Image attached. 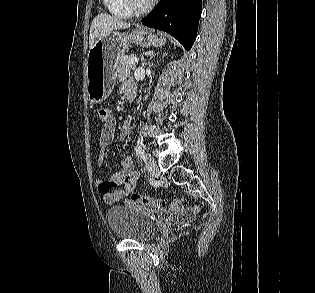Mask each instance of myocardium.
<instances>
[{"instance_id":"myocardium-1","label":"myocardium","mask_w":315,"mask_h":293,"mask_svg":"<svg viewBox=\"0 0 315 293\" xmlns=\"http://www.w3.org/2000/svg\"><path fill=\"white\" fill-rule=\"evenodd\" d=\"M125 5L127 8L132 12L136 14H142L147 12L148 10L151 9L153 5V0L149 1L145 5H139L136 0H124Z\"/></svg>"}]
</instances>
